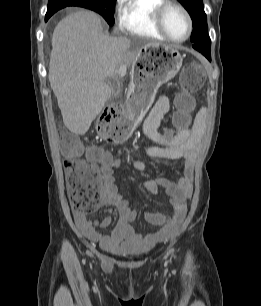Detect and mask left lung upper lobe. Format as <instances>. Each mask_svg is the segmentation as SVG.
<instances>
[{"label":"left lung upper lobe","instance_id":"1","mask_svg":"<svg viewBox=\"0 0 261 306\" xmlns=\"http://www.w3.org/2000/svg\"><path fill=\"white\" fill-rule=\"evenodd\" d=\"M189 12L193 21L191 41L193 48L210 60L211 40L208 35L207 17L204 12L203 0H178Z\"/></svg>","mask_w":261,"mask_h":306}]
</instances>
